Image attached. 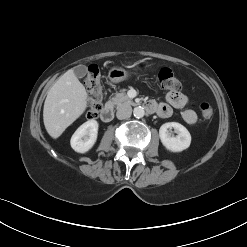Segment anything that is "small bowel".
<instances>
[{"mask_svg": "<svg viewBox=\"0 0 247 247\" xmlns=\"http://www.w3.org/2000/svg\"><path fill=\"white\" fill-rule=\"evenodd\" d=\"M165 102L157 104L151 101L156 106V113L162 118H168L172 115L174 109L182 110L183 120L189 124L193 125L197 122L196 112L190 108L188 97L180 92H169L165 96Z\"/></svg>", "mask_w": 247, "mask_h": 247, "instance_id": "obj_1", "label": "small bowel"}]
</instances>
